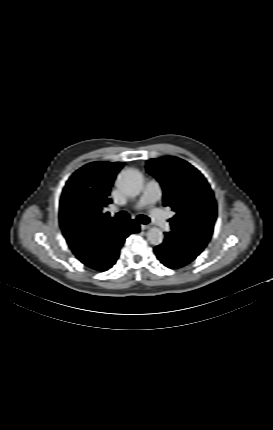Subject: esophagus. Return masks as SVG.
<instances>
[{
    "mask_svg": "<svg viewBox=\"0 0 273 430\" xmlns=\"http://www.w3.org/2000/svg\"><path fill=\"white\" fill-rule=\"evenodd\" d=\"M150 227H151L150 225H144V224H141V229H142V230L149 229Z\"/></svg>",
    "mask_w": 273,
    "mask_h": 430,
    "instance_id": "esophagus-1",
    "label": "esophagus"
}]
</instances>
